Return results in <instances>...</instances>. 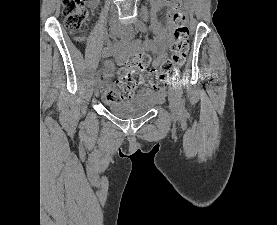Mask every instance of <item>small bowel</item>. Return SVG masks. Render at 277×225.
<instances>
[{
	"instance_id": "small-bowel-1",
	"label": "small bowel",
	"mask_w": 277,
	"mask_h": 225,
	"mask_svg": "<svg viewBox=\"0 0 277 225\" xmlns=\"http://www.w3.org/2000/svg\"><path fill=\"white\" fill-rule=\"evenodd\" d=\"M97 0H90L92 7L96 6ZM152 5V28L155 34V41L148 42L144 45L139 43H132L129 45L131 49H143L148 51L154 56V67H159L166 59V49L172 38V22L171 14L167 17V22L163 24L157 17V13L164 7L174 6V0H151ZM124 44L118 42L109 44L103 51L99 52V57L107 58L113 57L118 63H121L125 57ZM115 71V64L112 60H106L104 62L102 70L97 74L96 80L101 86H107L110 83ZM164 91L162 89L157 90V96L162 97Z\"/></svg>"
}]
</instances>
